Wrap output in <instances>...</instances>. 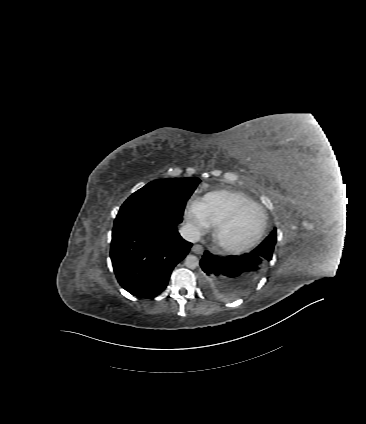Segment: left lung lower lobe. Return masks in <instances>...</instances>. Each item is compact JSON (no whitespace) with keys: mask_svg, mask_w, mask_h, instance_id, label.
Listing matches in <instances>:
<instances>
[{"mask_svg":"<svg viewBox=\"0 0 366 424\" xmlns=\"http://www.w3.org/2000/svg\"><path fill=\"white\" fill-rule=\"evenodd\" d=\"M264 263L262 256L253 252L241 256L219 257L205 251L200 260L203 270V284L211 293L231 295L233 279L243 273L255 274L259 272Z\"/></svg>","mask_w":366,"mask_h":424,"instance_id":"0a47b994","label":"left lung lower lobe"}]
</instances>
